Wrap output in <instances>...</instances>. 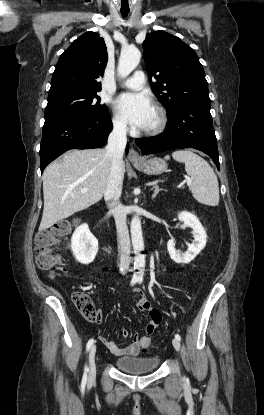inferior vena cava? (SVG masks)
I'll return each mask as SVG.
<instances>
[{"label": "inferior vena cava", "mask_w": 264, "mask_h": 415, "mask_svg": "<svg viewBox=\"0 0 264 415\" xmlns=\"http://www.w3.org/2000/svg\"><path fill=\"white\" fill-rule=\"evenodd\" d=\"M126 124L122 122L114 123L113 130L108 137V144L106 146V155L110 158L111 167L109 178L107 182L106 191L104 194L106 201H111V209L119 239L120 259L119 269L122 274H125L130 266V238L126 223V214L124 207L119 202L122 192L123 183V153L125 151L127 137Z\"/></svg>", "instance_id": "602c4592"}]
</instances>
